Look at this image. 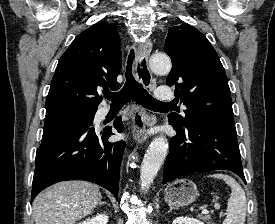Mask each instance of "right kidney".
<instances>
[{"instance_id": "right-kidney-1", "label": "right kidney", "mask_w": 275, "mask_h": 224, "mask_svg": "<svg viewBox=\"0 0 275 224\" xmlns=\"http://www.w3.org/2000/svg\"><path fill=\"white\" fill-rule=\"evenodd\" d=\"M108 220L109 218L106 214H98L95 217H92L91 219L88 218L79 224H107Z\"/></svg>"}]
</instances>
